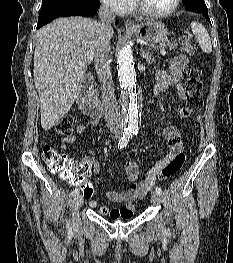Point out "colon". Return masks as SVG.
<instances>
[{
    "instance_id": "obj_1",
    "label": "colon",
    "mask_w": 233,
    "mask_h": 263,
    "mask_svg": "<svg viewBox=\"0 0 233 263\" xmlns=\"http://www.w3.org/2000/svg\"><path fill=\"white\" fill-rule=\"evenodd\" d=\"M180 43L182 50L189 56L196 54V49L189 43L186 36L181 37ZM186 86V107L183 112L185 117L192 115L202 109L203 97L201 93V71L189 66L185 70ZM73 130V118L71 116H64L55 125V131L60 135H70ZM42 157L50 172L58 174L60 180H69L70 183L75 184L74 188L78 189L79 195H92V186L87 181L93 175L92 171H75L76 163L74 160L68 159L64 154L57 152L49 145L43 147ZM185 161L184 154L176 155L170 162L163 167L154 171L153 179H166L175 175L183 166Z\"/></svg>"
}]
</instances>
